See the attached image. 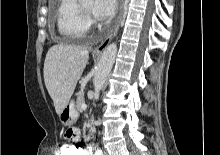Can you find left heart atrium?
Returning <instances> with one entry per match:
<instances>
[{
	"instance_id": "obj_1",
	"label": "left heart atrium",
	"mask_w": 220,
	"mask_h": 155,
	"mask_svg": "<svg viewBox=\"0 0 220 155\" xmlns=\"http://www.w3.org/2000/svg\"><path fill=\"white\" fill-rule=\"evenodd\" d=\"M117 8V0H95L92 12L101 19L111 17Z\"/></svg>"
}]
</instances>
